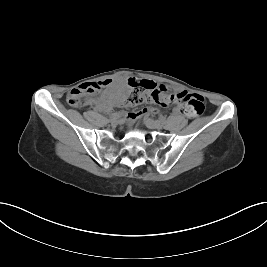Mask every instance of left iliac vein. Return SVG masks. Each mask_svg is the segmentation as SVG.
Here are the masks:
<instances>
[{
  "mask_svg": "<svg viewBox=\"0 0 267 267\" xmlns=\"http://www.w3.org/2000/svg\"><path fill=\"white\" fill-rule=\"evenodd\" d=\"M145 124L150 129H161L163 127V123L158 120H153L151 118L145 119Z\"/></svg>",
  "mask_w": 267,
  "mask_h": 267,
  "instance_id": "1",
  "label": "left iliac vein"
}]
</instances>
